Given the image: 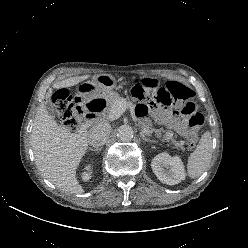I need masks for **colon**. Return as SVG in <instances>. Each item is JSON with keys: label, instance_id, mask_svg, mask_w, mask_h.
I'll list each match as a JSON object with an SVG mask.
<instances>
[{"label": "colon", "instance_id": "1", "mask_svg": "<svg viewBox=\"0 0 248 248\" xmlns=\"http://www.w3.org/2000/svg\"><path fill=\"white\" fill-rule=\"evenodd\" d=\"M132 96L142 103H158L163 106H172L180 104L178 111L188 118L187 126L188 145L194 148L198 141L196 130L203 124V116L197 112L196 105L191 98L194 95L193 90L178 81H169L165 87H160L153 95H151L146 87L142 84H136L131 89ZM54 106L58 118L67 127L73 129L77 125L78 119L83 116L84 108L81 104L74 101L70 94L65 90H60L54 94Z\"/></svg>", "mask_w": 248, "mask_h": 248}]
</instances>
